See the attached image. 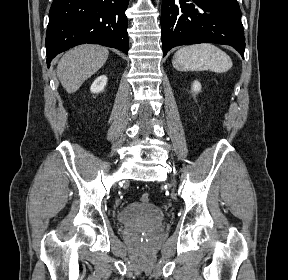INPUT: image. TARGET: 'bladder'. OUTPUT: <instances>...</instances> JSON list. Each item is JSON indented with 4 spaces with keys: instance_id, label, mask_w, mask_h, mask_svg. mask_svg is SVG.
Listing matches in <instances>:
<instances>
[{
    "instance_id": "1",
    "label": "bladder",
    "mask_w": 288,
    "mask_h": 280,
    "mask_svg": "<svg viewBox=\"0 0 288 280\" xmlns=\"http://www.w3.org/2000/svg\"><path fill=\"white\" fill-rule=\"evenodd\" d=\"M164 212L156 205L133 202L117 213V220L129 227L141 229H153L164 220Z\"/></svg>"
}]
</instances>
